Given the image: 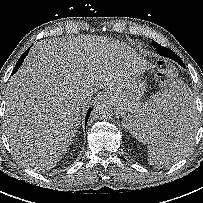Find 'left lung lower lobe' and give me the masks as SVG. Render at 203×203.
Returning <instances> with one entry per match:
<instances>
[{
	"mask_svg": "<svg viewBox=\"0 0 203 203\" xmlns=\"http://www.w3.org/2000/svg\"><path fill=\"white\" fill-rule=\"evenodd\" d=\"M157 50H158V53H159L160 55L165 56V57H168V58H171V59H173V60L179 62L177 56H176V55L174 54V52H172L170 49L165 48V47H158ZM181 66L184 67L183 63L181 64Z\"/></svg>",
	"mask_w": 203,
	"mask_h": 203,
	"instance_id": "obj_1",
	"label": "left lung lower lobe"
}]
</instances>
